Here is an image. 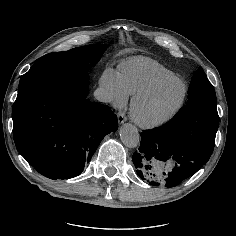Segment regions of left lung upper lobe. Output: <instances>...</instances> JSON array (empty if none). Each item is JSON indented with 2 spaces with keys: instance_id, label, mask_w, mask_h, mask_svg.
I'll return each instance as SVG.
<instances>
[{
  "instance_id": "5c2ea615",
  "label": "left lung upper lobe",
  "mask_w": 236,
  "mask_h": 236,
  "mask_svg": "<svg viewBox=\"0 0 236 236\" xmlns=\"http://www.w3.org/2000/svg\"><path fill=\"white\" fill-rule=\"evenodd\" d=\"M193 102H206L216 105L214 87L207 79L201 67L194 72L188 89L187 105Z\"/></svg>"
}]
</instances>
